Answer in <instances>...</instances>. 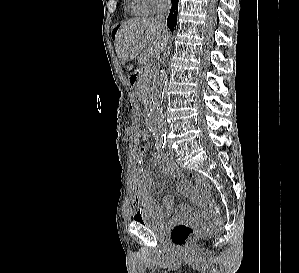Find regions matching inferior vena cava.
Returning a JSON list of instances; mask_svg holds the SVG:
<instances>
[{"mask_svg": "<svg viewBox=\"0 0 299 273\" xmlns=\"http://www.w3.org/2000/svg\"><path fill=\"white\" fill-rule=\"evenodd\" d=\"M171 8V0H157L155 21L162 29H166V20Z\"/></svg>", "mask_w": 299, "mask_h": 273, "instance_id": "1", "label": "inferior vena cava"}]
</instances>
